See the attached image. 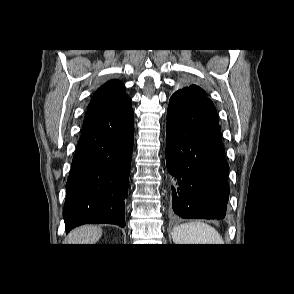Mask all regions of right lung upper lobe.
Instances as JSON below:
<instances>
[{
    "instance_id": "cb5924a9",
    "label": "right lung upper lobe",
    "mask_w": 294,
    "mask_h": 294,
    "mask_svg": "<svg viewBox=\"0 0 294 294\" xmlns=\"http://www.w3.org/2000/svg\"><path fill=\"white\" fill-rule=\"evenodd\" d=\"M127 98L129 97L125 94L123 83L111 80L98 88L88 106V111L113 107Z\"/></svg>"
}]
</instances>
